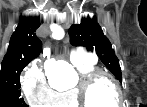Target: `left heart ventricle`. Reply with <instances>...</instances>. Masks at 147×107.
I'll use <instances>...</instances> for the list:
<instances>
[{"mask_svg":"<svg viewBox=\"0 0 147 107\" xmlns=\"http://www.w3.org/2000/svg\"><path fill=\"white\" fill-rule=\"evenodd\" d=\"M89 102L92 107H113L117 104V92L113 84L102 79L89 92Z\"/></svg>","mask_w":147,"mask_h":107,"instance_id":"1","label":"left heart ventricle"}]
</instances>
